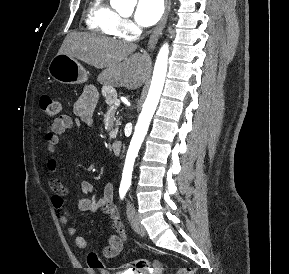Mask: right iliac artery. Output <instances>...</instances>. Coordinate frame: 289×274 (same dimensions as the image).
<instances>
[{"label": "right iliac artery", "instance_id": "1", "mask_svg": "<svg viewBox=\"0 0 289 274\" xmlns=\"http://www.w3.org/2000/svg\"><path fill=\"white\" fill-rule=\"evenodd\" d=\"M126 191H127L126 188H120V189H119V195H120V198H121L122 200H123V198L125 197Z\"/></svg>", "mask_w": 289, "mask_h": 274}]
</instances>
